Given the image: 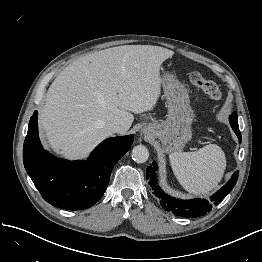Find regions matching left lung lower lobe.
Returning a JSON list of instances; mask_svg holds the SVG:
<instances>
[{
    "label": "left lung lower lobe",
    "instance_id": "0a47b994",
    "mask_svg": "<svg viewBox=\"0 0 262 262\" xmlns=\"http://www.w3.org/2000/svg\"><path fill=\"white\" fill-rule=\"evenodd\" d=\"M229 121L232 129L241 142V133L239 131L238 120L235 119V117H230ZM157 169L158 166L156 162H153L150 166L147 167L146 170V176L149 180V185L153 190V194L160 200V204L163 209L168 212H172L177 216L188 218L202 216L209 212L214 205H218L232 191L238 180L239 174V171H236L230 180L209 199L196 198L190 200H181L168 195L161 189L158 184Z\"/></svg>",
    "mask_w": 262,
    "mask_h": 262
}]
</instances>
